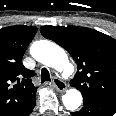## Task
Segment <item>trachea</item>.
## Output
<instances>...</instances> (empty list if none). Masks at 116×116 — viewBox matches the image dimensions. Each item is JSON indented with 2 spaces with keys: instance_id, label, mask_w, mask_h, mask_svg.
Here are the masks:
<instances>
[{
  "instance_id": "obj_1",
  "label": "trachea",
  "mask_w": 116,
  "mask_h": 116,
  "mask_svg": "<svg viewBox=\"0 0 116 116\" xmlns=\"http://www.w3.org/2000/svg\"><path fill=\"white\" fill-rule=\"evenodd\" d=\"M46 81H51L50 74L46 68H42V70H41V82L44 83Z\"/></svg>"
}]
</instances>
